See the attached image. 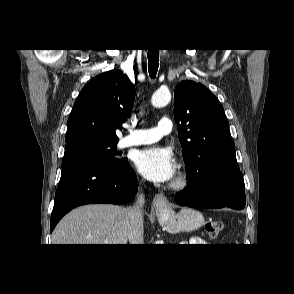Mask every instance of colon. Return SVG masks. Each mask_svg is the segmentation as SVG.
I'll return each mask as SVG.
<instances>
[{
	"label": "colon",
	"mask_w": 294,
	"mask_h": 294,
	"mask_svg": "<svg viewBox=\"0 0 294 294\" xmlns=\"http://www.w3.org/2000/svg\"><path fill=\"white\" fill-rule=\"evenodd\" d=\"M224 224L220 221H209L205 225V230L207 235L211 239H215L219 236L220 232L223 230Z\"/></svg>",
	"instance_id": "obj_1"
}]
</instances>
